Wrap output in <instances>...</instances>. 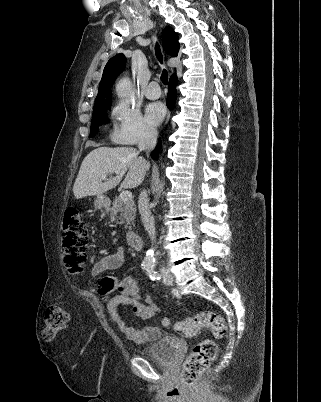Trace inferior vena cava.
I'll use <instances>...</instances> for the list:
<instances>
[{"label":"inferior vena cava","mask_w":321,"mask_h":402,"mask_svg":"<svg viewBox=\"0 0 321 402\" xmlns=\"http://www.w3.org/2000/svg\"><path fill=\"white\" fill-rule=\"evenodd\" d=\"M158 132L153 128H146L139 142L138 148L140 151L149 153L153 150L157 143ZM149 199L146 190H143L138 199V209L145 230L149 234L152 243L155 241V221L148 206Z\"/></svg>","instance_id":"1"}]
</instances>
